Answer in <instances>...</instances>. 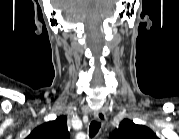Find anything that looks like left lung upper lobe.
<instances>
[{"instance_id": "obj_1", "label": "left lung upper lobe", "mask_w": 179, "mask_h": 139, "mask_svg": "<svg viewBox=\"0 0 179 139\" xmlns=\"http://www.w3.org/2000/svg\"><path fill=\"white\" fill-rule=\"evenodd\" d=\"M155 134L146 126L134 124L129 119H124L119 128L115 129L113 139H155Z\"/></svg>"}]
</instances>
